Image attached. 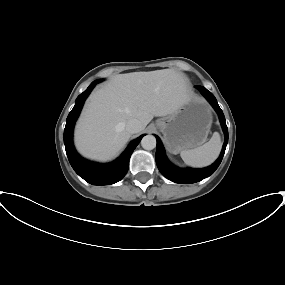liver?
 Returning a JSON list of instances; mask_svg holds the SVG:
<instances>
[{
    "instance_id": "obj_1",
    "label": "liver",
    "mask_w": 285,
    "mask_h": 285,
    "mask_svg": "<svg viewBox=\"0 0 285 285\" xmlns=\"http://www.w3.org/2000/svg\"><path fill=\"white\" fill-rule=\"evenodd\" d=\"M192 94L188 79L173 69L119 74L91 93L75 130V145L85 157L106 161L116 156L131 137L126 124L167 116Z\"/></svg>"
}]
</instances>
